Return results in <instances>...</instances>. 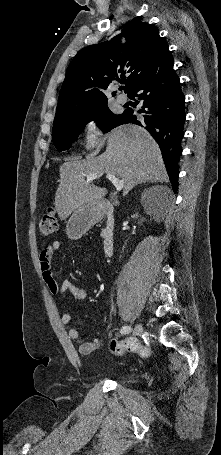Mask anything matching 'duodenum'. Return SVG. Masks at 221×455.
<instances>
[{
	"label": "duodenum",
	"instance_id": "obj_1",
	"mask_svg": "<svg viewBox=\"0 0 221 455\" xmlns=\"http://www.w3.org/2000/svg\"><path fill=\"white\" fill-rule=\"evenodd\" d=\"M97 218H105L106 226L103 233V250L106 256H111L114 251V227L115 219L112 205L109 201L99 202Z\"/></svg>",
	"mask_w": 221,
	"mask_h": 455
}]
</instances>
